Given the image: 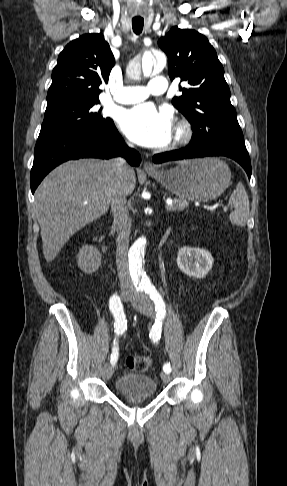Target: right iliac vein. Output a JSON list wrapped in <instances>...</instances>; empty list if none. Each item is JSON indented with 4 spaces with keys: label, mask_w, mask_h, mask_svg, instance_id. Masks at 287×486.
Segmentation results:
<instances>
[{
    "label": "right iliac vein",
    "mask_w": 287,
    "mask_h": 486,
    "mask_svg": "<svg viewBox=\"0 0 287 486\" xmlns=\"http://www.w3.org/2000/svg\"><path fill=\"white\" fill-rule=\"evenodd\" d=\"M132 297V293L128 290H123L121 292V298L124 300V301H128L130 298ZM112 368L110 367V365L107 363L105 366H104V369L102 371V377L104 380H109L111 377H112Z\"/></svg>",
    "instance_id": "right-iliac-vein-1"
}]
</instances>
